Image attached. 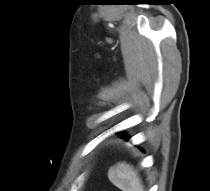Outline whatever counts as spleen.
I'll return each mask as SVG.
<instances>
[{
	"instance_id": "1",
	"label": "spleen",
	"mask_w": 210,
	"mask_h": 191,
	"mask_svg": "<svg viewBox=\"0 0 210 191\" xmlns=\"http://www.w3.org/2000/svg\"><path fill=\"white\" fill-rule=\"evenodd\" d=\"M108 178L113 185L122 191H144L141 179L133 167L125 162L110 168Z\"/></svg>"
}]
</instances>
